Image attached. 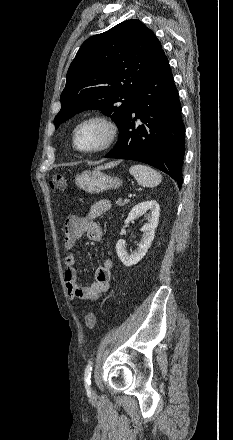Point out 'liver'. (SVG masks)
Instances as JSON below:
<instances>
[{
	"label": "liver",
	"mask_w": 233,
	"mask_h": 440,
	"mask_svg": "<svg viewBox=\"0 0 233 440\" xmlns=\"http://www.w3.org/2000/svg\"><path fill=\"white\" fill-rule=\"evenodd\" d=\"M112 164H107V165H105V168H107V167H110Z\"/></svg>",
	"instance_id": "liver-1"
}]
</instances>
